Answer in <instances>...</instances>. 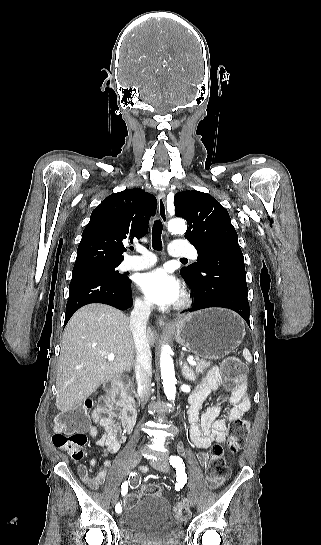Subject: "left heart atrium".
Returning a JSON list of instances; mask_svg holds the SVG:
<instances>
[{"instance_id":"left-heart-atrium-1","label":"left heart atrium","mask_w":321,"mask_h":545,"mask_svg":"<svg viewBox=\"0 0 321 545\" xmlns=\"http://www.w3.org/2000/svg\"><path fill=\"white\" fill-rule=\"evenodd\" d=\"M137 285L146 298L161 309L177 304L183 294L180 282L164 268H158L141 275Z\"/></svg>"}]
</instances>
